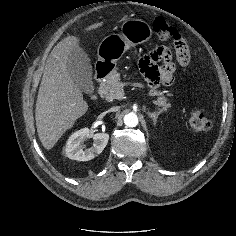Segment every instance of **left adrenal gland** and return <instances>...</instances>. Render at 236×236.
Returning a JSON list of instances; mask_svg holds the SVG:
<instances>
[{
  "label": "left adrenal gland",
  "mask_w": 236,
  "mask_h": 236,
  "mask_svg": "<svg viewBox=\"0 0 236 236\" xmlns=\"http://www.w3.org/2000/svg\"><path fill=\"white\" fill-rule=\"evenodd\" d=\"M161 112V110L158 112H147L148 116L153 120L154 125H156L158 116L161 114Z\"/></svg>",
  "instance_id": "a2214340"
}]
</instances>
